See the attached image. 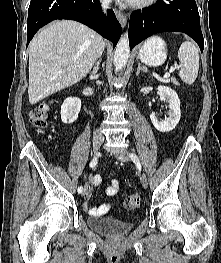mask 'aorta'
<instances>
[{
    "label": "aorta",
    "mask_w": 221,
    "mask_h": 263,
    "mask_svg": "<svg viewBox=\"0 0 221 263\" xmlns=\"http://www.w3.org/2000/svg\"><path fill=\"white\" fill-rule=\"evenodd\" d=\"M129 53H130V47H129L128 35L124 34L120 38L114 53L115 72L122 70L126 66V63L129 58Z\"/></svg>",
    "instance_id": "1"
}]
</instances>
